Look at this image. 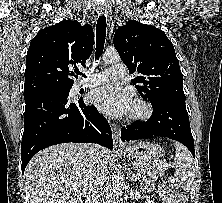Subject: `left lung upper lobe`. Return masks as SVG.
Here are the masks:
<instances>
[{
	"instance_id": "left-lung-upper-lobe-1",
	"label": "left lung upper lobe",
	"mask_w": 222,
	"mask_h": 203,
	"mask_svg": "<svg viewBox=\"0 0 222 203\" xmlns=\"http://www.w3.org/2000/svg\"><path fill=\"white\" fill-rule=\"evenodd\" d=\"M113 42L129 72L140 73L132 82L141 97L151 104L168 96L185 98L174 46L162 30L131 20L117 29Z\"/></svg>"
}]
</instances>
